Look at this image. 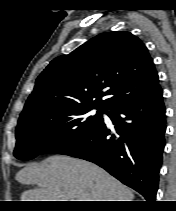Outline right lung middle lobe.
Segmentation results:
<instances>
[{
	"mask_svg": "<svg viewBox=\"0 0 176 211\" xmlns=\"http://www.w3.org/2000/svg\"><path fill=\"white\" fill-rule=\"evenodd\" d=\"M90 107L51 109L19 118L14 156L21 160L59 152L81 140L103 122L102 111Z\"/></svg>",
	"mask_w": 176,
	"mask_h": 211,
	"instance_id": "dd1d6c3e",
	"label": "right lung middle lobe"
}]
</instances>
